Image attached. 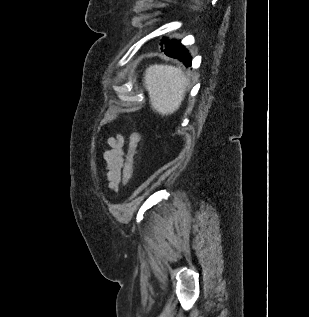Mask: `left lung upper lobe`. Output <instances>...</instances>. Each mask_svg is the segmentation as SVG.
Instances as JSON below:
<instances>
[{
  "label": "left lung upper lobe",
  "instance_id": "1",
  "mask_svg": "<svg viewBox=\"0 0 309 317\" xmlns=\"http://www.w3.org/2000/svg\"><path fill=\"white\" fill-rule=\"evenodd\" d=\"M171 41H172V40H171ZM171 41H168V40L163 41V40H162V43H163V44H167V43H169V42H171Z\"/></svg>",
  "mask_w": 309,
  "mask_h": 317
}]
</instances>
